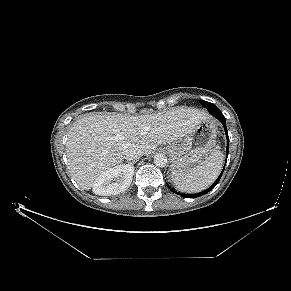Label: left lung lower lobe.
<instances>
[{
  "label": "left lung lower lobe",
  "instance_id": "0a47b994",
  "mask_svg": "<svg viewBox=\"0 0 291 291\" xmlns=\"http://www.w3.org/2000/svg\"><path fill=\"white\" fill-rule=\"evenodd\" d=\"M211 114H213L216 118H218L224 125V128H225V132H226V135H227V156H228V150H229V137H228V132H227V128H226V119L224 117V115L221 113L220 110L218 111H213L211 112ZM223 171H224V168L222 170V172L219 174V176L216 178V180L212 183L211 186H209V188H207L206 190L200 192V193H197V194H182V193H178V192H175L174 190H172L170 188V190L176 194H179L185 198H196V197H199V196H202L206 193H208L209 191H211L216 185L217 183L219 182L222 174H223Z\"/></svg>",
  "mask_w": 291,
  "mask_h": 291
}]
</instances>
